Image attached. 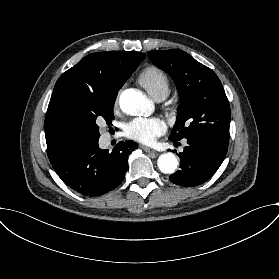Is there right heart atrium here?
Listing matches in <instances>:
<instances>
[{"label":"right heart atrium","instance_id":"right-heart-atrium-1","mask_svg":"<svg viewBox=\"0 0 279 279\" xmlns=\"http://www.w3.org/2000/svg\"><path fill=\"white\" fill-rule=\"evenodd\" d=\"M117 100H118V96H117L116 99H115V104H117Z\"/></svg>","mask_w":279,"mask_h":279}]
</instances>
